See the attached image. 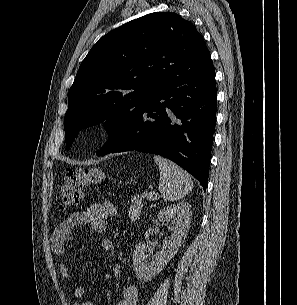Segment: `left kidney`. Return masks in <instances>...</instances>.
Segmentation results:
<instances>
[{"label":"left kidney","instance_id":"5707ae66","mask_svg":"<svg viewBox=\"0 0 297 305\" xmlns=\"http://www.w3.org/2000/svg\"><path fill=\"white\" fill-rule=\"evenodd\" d=\"M157 219L160 223L166 224L172 222L174 227L171 228V235L168 240L163 242L162 248L152 258L147 261L145 252L149 249L148 244L139 242L133 254V266L136 277L141 282L151 280L167 265L175 256L188 233L191 220V205L188 202H180L162 209ZM152 228L145 233V238L152 234Z\"/></svg>","mask_w":297,"mask_h":305}]
</instances>
